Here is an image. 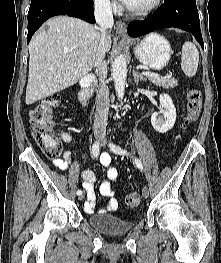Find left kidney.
<instances>
[{"label": "left kidney", "instance_id": "left-kidney-1", "mask_svg": "<svg viewBox=\"0 0 221 263\" xmlns=\"http://www.w3.org/2000/svg\"><path fill=\"white\" fill-rule=\"evenodd\" d=\"M161 108L151 115V124L159 133H166L173 128L176 121V108L169 95H160ZM162 114V116L160 115Z\"/></svg>", "mask_w": 221, "mask_h": 263}]
</instances>
